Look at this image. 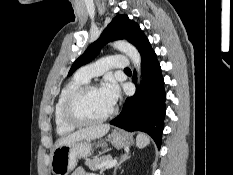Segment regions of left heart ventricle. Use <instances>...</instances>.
I'll return each instance as SVG.
<instances>
[{"label":"left heart ventricle","mask_w":233,"mask_h":175,"mask_svg":"<svg viewBox=\"0 0 233 175\" xmlns=\"http://www.w3.org/2000/svg\"><path fill=\"white\" fill-rule=\"evenodd\" d=\"M112 107L101 89L97 88L87 93L81 99L78 105V112L84 117L98 118L107 114Z\"/></svg>","instance_id":"b2bd125f"}]
</instances>
